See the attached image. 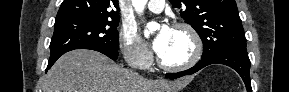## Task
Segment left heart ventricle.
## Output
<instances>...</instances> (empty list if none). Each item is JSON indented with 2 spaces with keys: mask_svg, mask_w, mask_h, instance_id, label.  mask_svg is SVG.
Returning <instances> with one entry per match:
<instances>
[{
  "mask_svg": "<svg viewBox=\"0 0 289 92\" xmlns=\"http://www.w3.org/2000/svg\"><path fill=\"white\" fill-rule=\"evenodd\" d=\"M193 54V42L187 32L172 29L167 46L160 57L168 64H182Z\"/></svg>",
  "mask_w": 289,
  "mask_h": 92,
  "instance_id": "left-heart-ventricle-1",
  "label": "left heart ventricle"
}]
</instances>
